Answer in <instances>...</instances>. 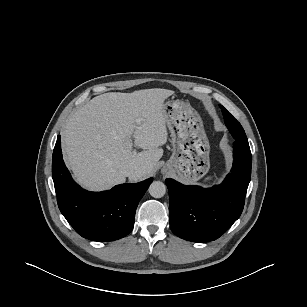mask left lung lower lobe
<instances>
[{
    "instance_id": "1",
    "label": "left lung lower lobe",
    "mask_w": 307,
    "mask_h": 307,
    "mask_svg": "<svg viewBox=\"0 0 307 307\" xmlns=\"http://www.w3.org/2000/svg\"><path fill=\"white\" fill-rule=\"evenodd\" d=\"M234 162L225 180L212 188L185 186L166 179L170 227L175 235L192 242L216 240L240 217L251 178L249 144L234 142Z\"/></svg>"
}]
</instances>
